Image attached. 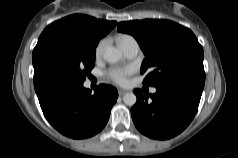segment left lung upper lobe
<instances>
[{
	"label": "left lung upper lobe",
	"mask_w": 238,
	"mask_h": 158,
	"mask_svg": "<svg viewBox=\"0 0 238 158\" xmlns=\"http://www.w3.org/2000/svg\"><path fill=\"white\" fill-rule=\"evenodd\" d=\"M118 31L133 35L146 55L141 68V74H146L145 85L205 73L203 48L193 32L182 25L169 20H135L119 23Z\"/></svg>",
	"instance_id": "1"
}]
</instances>
